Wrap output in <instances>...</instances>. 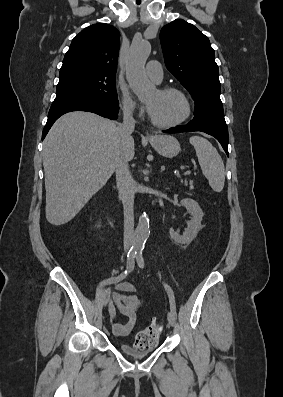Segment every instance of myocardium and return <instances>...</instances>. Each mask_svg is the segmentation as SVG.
Returning a JSON list of instances; mask_svg holds the SVG:
<instances>
[{
	"label": "myocardium",
	"mask_w": 283,
	"mask_h": 397,
	"mask_svg": "<svg viewBox=\"0 0 283 397\" xmlns=\"http://www.w3.org/2000/svg\"><path fill=\"white\" fill-rule=\"evenodd\" d=\"M158 91L161 93H176L180 95L184 100L186 108H185V113L182 117L171 122H159L155 120L151 115H149L150 121L154 126L159 128H173L183 124L185 121L189 119L192 113V103L188 95L182 89L175 86H163L160 87Z\"/></svg>",
	"instance_id": "1"
}]
</instances>
